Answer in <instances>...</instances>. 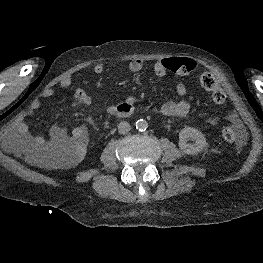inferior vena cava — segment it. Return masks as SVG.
<instances>
[{
  "label": "inferior vena cava",
  "mask_w": 263,
  "mask_h": 263,
  "mask_svg": "<svg viewBox=\"0 0 263 263\" xmlns=\"http://www.w3.org/2000/svg\"><path fill=\"white\" fill-rule=\"evenodd\" d=\"M131 127L128 122H120L118 124V131L120 134H127L130 131Z\"/></svg>",
  "instance_id": "602c4592"
}]
</instances>
